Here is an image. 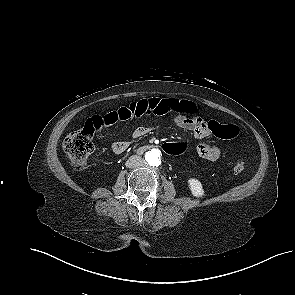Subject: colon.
Segmentation results:
<instances>
[{
    "label": "colon",
    "instance_id": "1",
    "mask_svg": "<svg viewBox=\"0 0 295 295\" xmlns=\"http://www.w3.org/2000/svg\"><path fill=\"white\" fill-rule=\"evenodd\" d=\"M182 111L188 115H195L197 113L196 106L189 101H182ZM103 127V120L101 116H94L88 119L84 126L68 134L63 142V149L68 157L71 165L83 170L88 161V157L94 150V135ZM211 133L222 139H233L239 134V128L233 123H218L211 121L208 124ZM161 150L170 156H175L178 153L185 151L187 144L184 139H177L176 141H163L161 143ZM245 163L237 161L233 170L235 173H240L244 170Z\"/></svg>",
    "mask_w": 295,
    "mask_h": 295
}]
</instances>
